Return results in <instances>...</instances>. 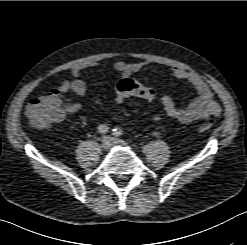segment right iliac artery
<instances>
[{"instance_id": "1", "label": "right iliac artery", "mask_w": 247, "mask_h": 245, "mask_svg": "<svg viewBox=\"0 0 247 245\" xmlns=\"http://www.w3.org/2000/svg\"><path fill=\"white\" fill-rule=\"evenodd\" d=\"M98 132L100 134H106L108 132V126L106 124H102L98 127Z\"/></svg>"}]
</instances>
